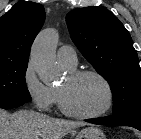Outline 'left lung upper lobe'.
<instances>
[{"mask_svg":"<svg viewBox=\"0 0 141 139\" xmlns=\"http://www.w3.org/2000/svg\"><path fill=\"white\" fill-rule=\"evenodd\" d=\"M74 44L109 83L113 115L141 108V68L129 32L107 9L91 6L67 14Z\"/></svg>","mask_w":141,"mask_h":139,"instance_id":"left-lung-upper-lobe-1","label":"left lung upper lobe"}]
</instances>
